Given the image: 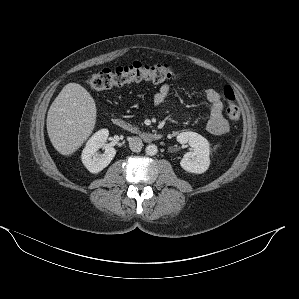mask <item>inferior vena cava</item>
I'll list each match as a JSON object with an SVG mask.
<instances>
[{
    "instance_id": "inferior-vena-cava-1",
    "label": "inferior vena cava",
    "mask_w": 299,
    "mask_h": 299,
    "mask_svg": "<svg viewBox=\"0 0 299 299\" xmlns=\"http://www.w3.org/2000/svg\"><path fill=\"white\" fill-rule=\"evenodd\" d=\"M142 146H143V143L139 137L134 136V137L130 138L129 147L133 152H140L142 149Z\"/></svg>"
}]
</instances>
